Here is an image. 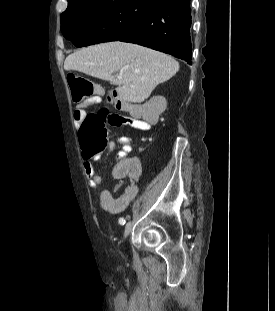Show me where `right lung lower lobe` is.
<instances>
[{"instance_id":"98d812e1","label":"right lung lower lobe","mask_w":275,"mask_h":311,"mask_svg":"<svg viewBox=\"0 0 275 311\" xmlns=\"http://www.w3.org/2000/svg\"><path fill=\"white\" fill-rule=\"evenodd\" d=\"M191 23L190 0H163L131 23L115 40L165 52L191 65Z\"/></svg>"}]
</instances>
